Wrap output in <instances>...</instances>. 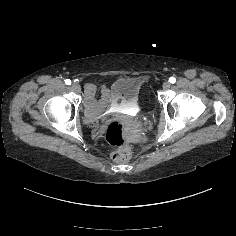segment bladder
Returning a JSON list of instances; mask_svg holds the SVG:
<instances>
[{
  "label": "bladder",
  "mask_w": 236,
  "mask_h": 236,
  "mask_svg": "<svg viewBox=\"0 0 236 236\" xmlns=\"http://www.w3.org/2000/svg\"><path fill=\"white\" fill-rule=\"evenodd\" d=\"M141 84L134 77H118L110 85L107 96L112 99L124 102H135L140 94Z\"/></svg>",
  "instance_id": "31cf9c89"
}]
</instances>
